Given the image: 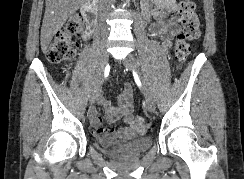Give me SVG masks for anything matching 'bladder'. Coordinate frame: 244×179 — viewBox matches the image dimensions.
<instances>
[{
	"mask_svg": "<svg viewBox=\"0 0 244 179\" xmlns=\"http://www.w3.org/2000/svg\"><path fill=\"white\" fill-rule=\"evenodd\" d=\"M151 148L150 137L136 138L117 149L109 151V155L117 159H128L135 156H141Z\"/></svg>",
	"mask_w": 244,
	"mask_h": 179,
	"instance_id": "obj_1",
	"label": "bladder"
}]
</instances>
